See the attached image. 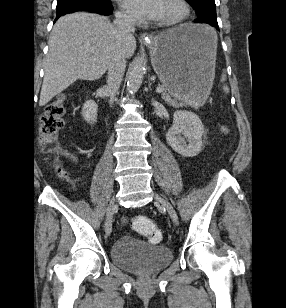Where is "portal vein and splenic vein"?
Masks as SVG:
<instances>
[{
  "label": "portal vein and splenic vein",
  "instance_id": "1",
  "mask_svg": "<svg viewBox=\"0 0 286 308\" xmlns=\"http://www.w3.org/2000/svg\"><path fill=\"white\" fill-rule=\"evenodd\" d=\"M164 91V88L163 87H157L156 88V92L157 93H162Z\"/></svg>",
  "mask_w": 286,
  "mask_h": 308
}]
</instances>
